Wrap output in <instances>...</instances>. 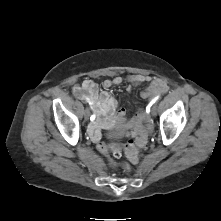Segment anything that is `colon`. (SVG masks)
Listing matches in <instances>:
<instances>
[{"instance_id":"colon-1","label":"colon","mask_w":221,"mask_h":221,"mask_svg":"<svg viewBox=\"0 0 221 221\" xmlns=\"http://www.w3.org/2000/svg\"><path fill=\"white\" fill-rule=\"evenodd\" d=\"M131 140L125 144H111L106 142H99L97 149L106 156L119 158L122 154L131 162L137 163L140 158V151L147 147L146 136L137 128V124L130 131ZM129 170L128 165L125 166Z\"/></svg>"}]
</instances>
